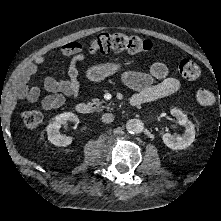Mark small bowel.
Returning <instances> with one entry per match:
<instances>
[{"label": "small bowel", "instance_id": "c3829d8e", "mask_svg": "<svg viewBox=\"0 0 221 221\" xmlns=\"http://www.w3.org/2000/svg\"><path fill=\"white\" fill-rule=\"evenodd\" d=\"M60 53L71 57L67 68V78L58 79L47 77L43 88L50 92L42 99V107L46 110L57 109L64 104V95L77 98L79 93V68L78 64L84 59L82 47L78 42H69L60 48ZM43 56L36 57L26 64L18 76L20 96L29 102H36L40 97L38 86H29V80L37 72V68L44 62ZM124 83L137 91L135 94L143 103H148L165 98L180 88V81L170 76L167 66L162 62H155L148 73L135 71L125 72L122 76ZM158 81L157 83H155Z\"/></svg>", "mask_w": 221, "mask_h": 221}]
</instances>
